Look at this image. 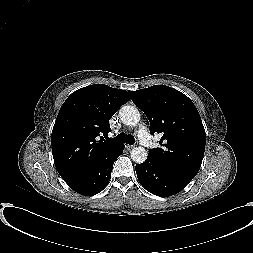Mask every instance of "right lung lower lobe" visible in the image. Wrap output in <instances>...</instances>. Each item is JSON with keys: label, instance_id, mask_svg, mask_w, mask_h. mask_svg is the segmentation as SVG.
<instances>
[{"label": "right lung lower lobe", "instance_id": "1", "mask_svg": "<svg viewBox=\"0 0 253 253\" xmlns=\"http://www.w3.org/2000/svg\"><path fill=\"white\" fill-rule=\"evenodd\" d=\"M124 148V144H119L95 166L81 174L64 178V181L82 195L101 192L109 183L114 161L122 154Z\"/></svg>", "mask_w": 253, "mask_h": 253}]
</instances>
